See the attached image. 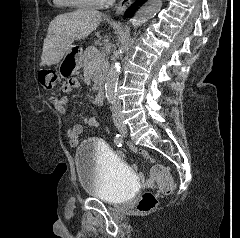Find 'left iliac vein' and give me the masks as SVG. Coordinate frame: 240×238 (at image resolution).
I'll return each mask as SVG.
<instances>
[{
    "instance_id": "4c4485c4",
    "label": "left iliac vein",
    "mask_w": 240,
    "mask_h": 238,
    "mask_svg": "<svg viewBox=\"0 0 240 238\" xmlns=\"http://www.w3.org/2000/svg\"><path fill=\"white\" fill-rule=\"evenodd\" d=\"M127 132V129L126 128H124V130H123V133L125 134Z\"/></svg>"
}]
</instances>
